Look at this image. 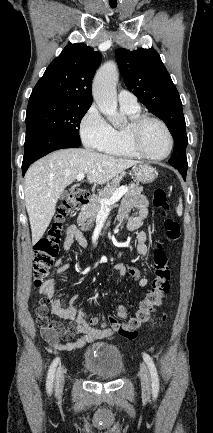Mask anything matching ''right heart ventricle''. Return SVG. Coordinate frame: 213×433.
<instances>
[{"label":"right heart ventricle","mask_w":213,"mask_h":433,"mask_svg":"<svg viewBox=\"0 0 213 433\" xmlns=\"http://www.w3.org/2000/svg\"><path fill=\"white\" fill-rule=\"evenodd\" d=\"M121 109L129 117L130 120L140 115L139 107L132 109L121 106ZM125 127H110L109 136L103 146L100 148L103 153L119 157H140L128 144Z\"/></svg>","instance_id":"right-heart-ventricle-1"}]
</instances>
